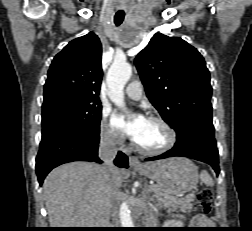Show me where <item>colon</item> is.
<instances>
[{"label":"colon","mask_w":252,"mask_h":231,"mask_svg":"<svg viewBox=\"0 0 252 231\" xmlns=\"http://www.w3.org/2000/svg\"><path fill=\"white\" fill-rule=\"evenodd\" d=\"M213 192L205 188L200 190L195 199V205L200 208L204 213H209L212 208Z\"/></svg>","instance_id":"obj_1"}]
</instances>
